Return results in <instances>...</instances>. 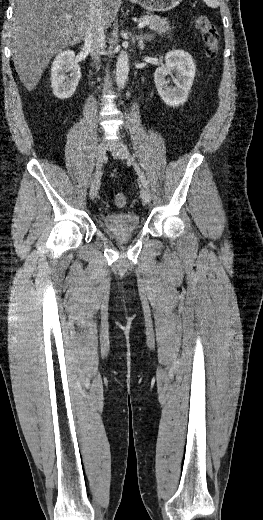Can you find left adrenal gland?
I'll return each instance as SVG.
<instances>
[{"mask_svg":"<svg viewBox=\"0 0 263 520\" xmlns=\"http://www.w3.org/2000/svg\"><path fill=\"white\" fill-rule=\"evenodd\" d=\"M153 39V35L149 34V33H140V35H136V40L138 41V44H139V47L143 50L145 45H144V40H152Z\"/></svg>","mask_w":263,"mask_h":520,"instance_id":"left-adrenal-gland-1","label":"left adrenal gland"}]
</instances>
